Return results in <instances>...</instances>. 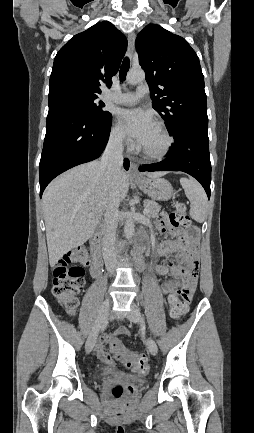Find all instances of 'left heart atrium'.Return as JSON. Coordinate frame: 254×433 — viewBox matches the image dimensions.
Segmentation results:
<instances>
[{"label":"left heart atrium","mask_w":254,"mask_h":433,"mask_svg":"<svg viewBox=\"0 0 254 433\" xmlns=\"http://www.w3.org/2000/svg\"><path fill=\"white\" fill-rule=\"evenodd\" d=\"M124 131L141 145L155 126L152 115L141 109H125L120 112Z\"/></svg>","instance_id":"1"}]
</instances>
